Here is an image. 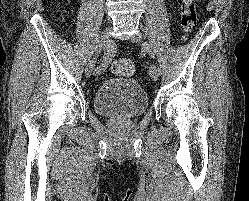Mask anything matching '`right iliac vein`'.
Returning a JSON list of instances; mask_svg holds the SVG:
<instances>
[{"mask_svg":"<svg viewBox=\"0 0 249 201\" xmlns=\"http://www.w3.org/2000/svg\"><path fill=\"white\" fill-rule=\"evenodd\" d=\"M108 45H109V31L108 29H105L100 36L97 53H100V51L105 49ZM95 63H96V57L92 58L87 64L85 69V74L87 77H89L93 72Z\"/></svg>","mask_w":249,"mask_h":201,"instance_id":"1","label":"right iliac vein"}]
</instances>
